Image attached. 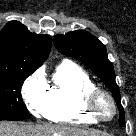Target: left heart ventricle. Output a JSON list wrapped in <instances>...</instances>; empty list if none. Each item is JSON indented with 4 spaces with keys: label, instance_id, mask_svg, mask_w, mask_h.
I'll list each match as a JSON object with an SVG mask.
<instances>
[{
    "label": "left heart ventricle",
    "instance_id": "b2bd125f",
    "mask_svg": "<svg viewBox=\"0 0 136 136\" xmlns=\"http://www.w3.org/2000/svg\"><path fill=\"white\" fill-rule=\"evenodd\" d=\"M98 111L105 117H108L112 113V106L109 100L105 97H101L98 102Z\"/></svg>",
    "mask_w": 136,
    "mask_h": 136
}]
</instances>
